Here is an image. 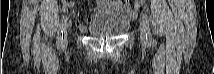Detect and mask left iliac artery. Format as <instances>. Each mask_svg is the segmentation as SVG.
Instances as JSON below:
<instances>
[{"instance_id": "44dca946", "label": "left iliac artery", "mask_w": 214, "mask_h": 74, "mask_svg": "<svg viewBox=\"0 0 214 74\" xmlns=\"http://www.w3.org/2000/svg\"><path fill=\"white\" fill-rule=\"evenodd\" d=\"M142 18L144 19V21H145L146 24L149 23V18H148L147 14L145 12H142ZM148 33H149V39H150V41L152 42V44H154V39L151 36L150 29H149Z\"/></svg>"}]
</instances>
